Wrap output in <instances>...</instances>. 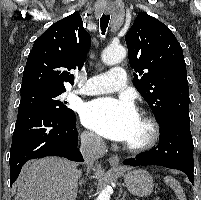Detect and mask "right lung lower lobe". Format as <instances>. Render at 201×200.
Here are the masks:
<instances>
[{
  "instance_id": "1",
  "label": "right lung lower lobe",
  "mask_w": 201,
  "mask_h": 200,
  "mask_svg": "<svg viewBox=\"0 0 201 200\" xmlns=\"http://www.w3.org/2000/svg\"><path fill=\"white\" fill-rule=\"evenodd\" d=\"M76 118L48 111H33L17 117L10 150V185L25 162L45 156H60L83 162L77 148Z\"/></svg>"
}]
</instances>
